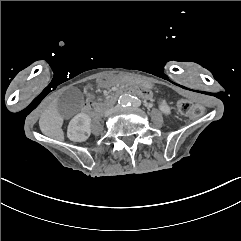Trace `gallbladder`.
<instances>
[{
  "label": "gallbladder",
  "mask_w": 241,
  "mask_h": 241,
  "mask_svg": "<svg viewBox=\"0 0 241 241\" xmlns=\"http://www.w3.org/2000/svg\"><path fill=\"white\" fill-rule=\"evenodd\" d=\"M83 96L79 89L71 87L66 89L58 103V113L61 118L67 119L81 111Z\"/></svg>",
  "instance_id": "bac80fb5"
}]
</instances>
